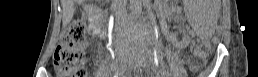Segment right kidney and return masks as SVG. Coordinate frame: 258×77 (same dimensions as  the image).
<instances>
[{
    "label": "right kidney",
    "instance_id": "obj_1",
    "mask_svg": "<svg viewBox=\"0 0 258 77\" xmlns=\"http://www.w3.org/2000/svg\"><path fill=\"white\" fill-rule=\"evenodd\" d=\"M100 15H101V11H100V10H98V11L96 12V18H99V17H100Z\"/></svg>",
    "mask_w": 258,
    "mask_h": 77
}]
</instances>
